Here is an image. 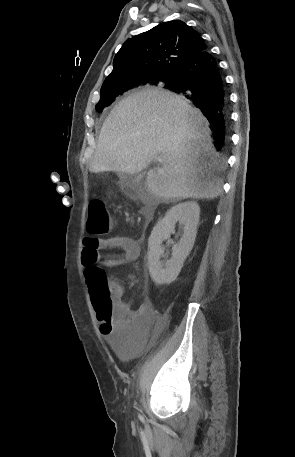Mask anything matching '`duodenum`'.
<instances>
[{
	"label": "duodenum",
	"instance_id": "1",
	"mask_svg": "<svg viewBox=\"0 0 295 457\" xmlns=\"http://www.w3.org/2000/svg\"><path fill=\"white\" fill-rule=\"evenodd\" d=\"M143 216L146 220H149L151 219V217L153 216V211L150 207H146L144 210H143Z\"/></svg>",
	"mask_w": 295,
	"mask_h": 457
}]
</instances>
